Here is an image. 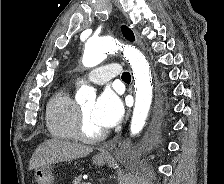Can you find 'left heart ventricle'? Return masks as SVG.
I'll list each match as a JSON object with an SVG mask.
<instances>
[{
	"mask_svg": "<svg viewBox=\"0 0 224 184\" xmlns=\"http://www.w3.org/2000/svg\"><path fill=\"white\" fill-rule=\"evenodd\" d=\"M93 105H94L93 101L81 105V108L85 116L86 129L90 134H96L97 132L103 130V128H101L92 118Z\"/></svg>",
	"mask_w": 224,
	"mask_h": 184,
	"instance_id": "1",
	"label": "left heart ventricle"
}]
</instances>
